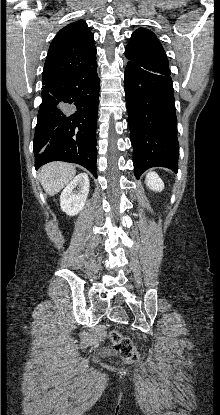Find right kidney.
<instances>
[{
  "label": "right kidney",
  "mask_w": 220,
  "mask_h": 415,
  "mask_svg": "<svg viewBox=\"0 0 220 415\" xmlns=\"http://www.w3.org/2000/svg\"><path fill=\"white\" fill-rule=\"evenodd\" d=\"M76 187H78V191ZM89 187V178L86 173H80L71 180L60 196L62 211L69 216L77 215L86 203Z\"/></svg>",
  "instance_id": "1"
}]
</instances>
